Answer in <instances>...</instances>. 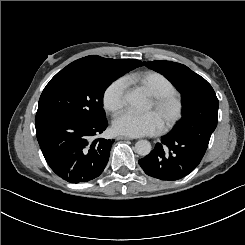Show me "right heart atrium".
<instances>
[{
  "label": "right heart atrium",
  "instance_id": "right-heart-atrium-1",
  "mask_svg": "<svg viewBox=\"0 0 245 245\" xmlns=\"http://www.w3.org/2000/svg\"><path fill=\"white\" fill-rule=\"evenodd\" d=\"M125 91L126 86L123 80L112 81L103 94L104 108L111 113L119 112L123 106Z\"/></svg>",
  "mask_w": 245,
  "mask_h": 245
}]
</instances>
